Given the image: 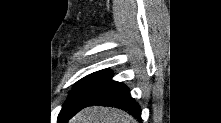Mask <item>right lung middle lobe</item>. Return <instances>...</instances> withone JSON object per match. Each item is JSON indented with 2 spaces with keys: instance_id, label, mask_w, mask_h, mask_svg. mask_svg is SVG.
Masks as SVG:
<instances>
[{
  "instance_id": "dd1d6c3e",
  "label": "right lung middle lobe",
  "mask_w": 221,
  "mask_h": 123,
  "mask_svg": "<svg viewBox=\"0 0 221 123\" xmlns=\"http://www.w3.org/2000/svg\"><path fill=\"white\" fill-rule=\"evenodd\" d=\"M110 77L111 72L105 69L79 80L65 102L61 114L63 116H74L89 103L94 91Z\"/></svg>"
}]
</instances>
